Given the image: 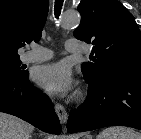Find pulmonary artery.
<instances>
[{
	"label": "pulmonary artery",
	"mask_w": 141,
	"mask_h": 139,
	"mask_svg": "<svg viewBox=\"0 0 141 139\" xmlns=\"http://www.w3.org/2000/svg\"><path fill=\"white\" fill-rule=\"evenodd\" d=\"M65 46L66 50L70 53H77L84 50L83 45L76 40H68ZM52 57L53 53L49 49L33 45L32 49L23 55L22 59L24 62L33 63L47 61Z\"/></svg>",
	"instance_id": "1"
}]
</instances>
